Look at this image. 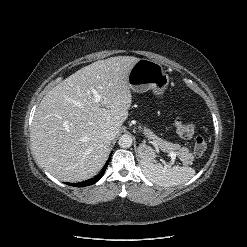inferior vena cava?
<instances>
[{
  "mask_svg": "<svg viewBox=\"0 0 247 247\" xmlns=\"http://www.w3.org/2000/svg\"><path fill=\"white\" fill-rule=\"evenodd\" d=\"M103 134H104V137L107 139V140H113L114 138H115V136H116V132H115V130L113 129V128H108V129H106L104 132H103Z\"/></svg>",
  "mask_w": 247,
  "mask_h": 247,
  "instance_id": "1",
  "label": "inferior vena cava"
}]
</instances>
